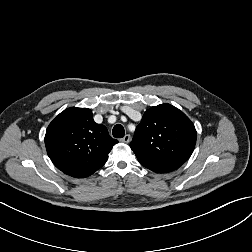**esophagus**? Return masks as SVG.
<instances>
[{
  "label": "esophagus",
  "mask_w": 252,
  "mask_h": 252,
  "mask_svg": "<svg viewBox=\"0 0 252 252\" xmlns=\"http://www.w3.org/2000/svg\"><path fill=\"white\" fill-rule=\"evenodd\" d=\"M131 141V135L127 134L122 139L121 142L129 143Z\"/></svg>",
  "instance_id": "obj_1"
}]
</instances>
